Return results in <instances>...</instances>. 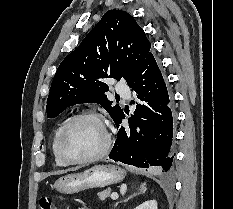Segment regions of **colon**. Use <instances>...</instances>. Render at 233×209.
<instances>
[{
    "instance_id": "obj_1",
    "label": "colon",
    "mask_w": 233,
    "mask_h": 209,
    "mask_svg": "<svg viewBox=\"0 0 233 209\" xmlns=\"http://www.w3.org/2000/svg\"><path fill=\"white\" fill-rule=\"evenodd\" d=\"M39 209H56L53 199L49 195H43L39 198Z\"/></svg>"
}]
</instances>
